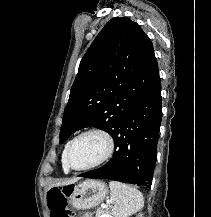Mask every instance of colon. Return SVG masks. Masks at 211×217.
Returning a JSON list of instances; mask_svg holds the SVG:
<instances>
[{
    "instance_id": "obj_1",
    "label": "colon",
    "mask_w": 211,
    "mask_h": 217,
    "mask_svg": "<svg viewBox=\"0 0 211 217\" xmlns=\"http://www.w3.org/2000/svg\"><path fill=\"white\" fill-rule=\"evenodd\" d=\"M72 189L70 187L54 188L48 192L47 203L51 217H71L68 209V197ZM85 217H92L91 214H84Z\"/></svg>"
}]
</instances>
